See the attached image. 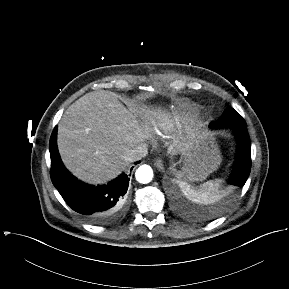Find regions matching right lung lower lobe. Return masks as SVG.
<instances>
[{"instance_id": "obj_1", "label": "right lung lower lobe", "mask_w": 289, "mask_h": 289, "mask_svg": "<svg viewBox=\"0 0 289 289\" xmlns=\"http://www.w3.org/2000/svg\"><path fill=\"white\" fill-rule=\"evenodd\" d=\"M57 126L50 138L51 180L66 203L85 221L105 224L117 220L124 212L129 178L123 173L107 185L85 184L64 167L57 149ZM139 163V162H137Z\"/></svg>"}]
</instances>
